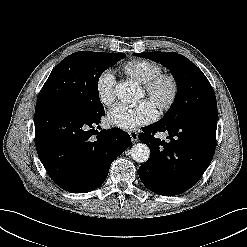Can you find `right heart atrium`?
<instances>
[{
	"mask_svg": "<svg viewBox=\"0 0 247 247\" xmlns=\"http://www.w3.org/2000/svg\"><path fill=\"white\" fill-rule=\"evenodd\" d=\"M115 77L109 70L101 72L95 81V91L99 102L109 106L115 99Z\"/></svg>",
	"mask_w": 247,
	"mask_h": 247,
	"instance_id": "1",
	"label": "right heart atrium"
}]
</instances>
